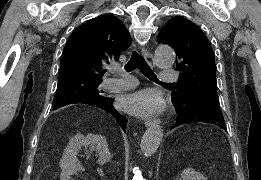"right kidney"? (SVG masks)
<instances>
[{
	"mask_svg": "<svg viewBox=\"0 0 261 180\" xmlns=\"http://www.w3.org/2000/svg\"><path fill=\"white\" fill-rule=\"evenodd\" d=\"M82 146L95 148L97 156H99V160H97L98 164L109 162L110 152L104 136H100V134H87V136L76 134V136L71 138L65 154L62 160H60V168L62 170L61 180H69L71 174H75L77 170H80L77 156Z\"/></svg>",
	"mask_w": 261,
	"mask_h": 180,
	"instance_id": "right-kidney-1",
	"label": "right kidney"
}]
</instances>
